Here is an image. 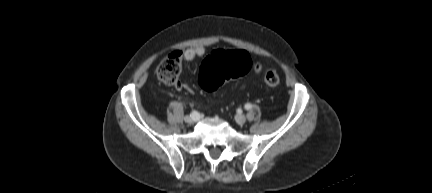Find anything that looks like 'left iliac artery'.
Masks as SVG:
<instances>
[{
    "mask_svg": "<svg viewBox=\"0 0 432 193\" xmlns=\"http://www.w3.org/2000/svg\"><path fill=\"white\" fill-rule=\"evenodd\" d=\"M252 108V105L250 103L245 104V109L250 110Z\"/></svg>",
    "mask_w": 432,
    "mask_h": 193,
    "instance_id": "44dca946",
    "label": "left iliac artery"
}]
</instances>
